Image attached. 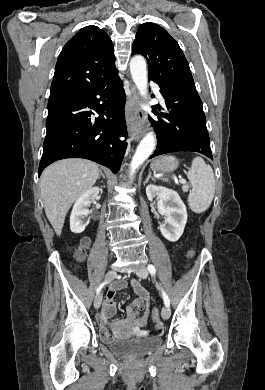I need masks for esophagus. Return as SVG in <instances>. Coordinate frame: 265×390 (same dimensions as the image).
Wrapping results in <instances>:
<instances>
[{"label":"esophagus","instance_id":"obj_1","mask_svg":"<svg viewBox=\"0 0 265 390\" xmlns=\"http://www.w3.org/2000/svg\"><path fill=\"white\" fill-rule=\"evenodd\" d=\"M131 91L132 94L128 100V106L132 111L131 122L129 125V134L138 140L144 133L146 115L139 107V95L134 85L131 86Z\"/></svg>","mask_w":265,"mask_h":390}]
</instances>
